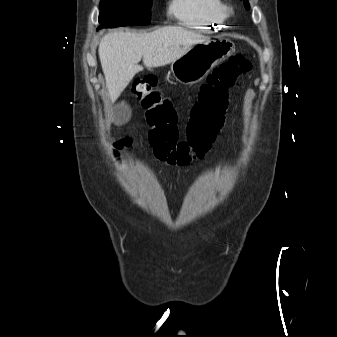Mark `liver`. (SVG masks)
Returning a JSON list of instances; mask_svg holds the SVG:
<instances>
[{"mask_svg": "<svg viewBox=\"0 0 337 337\" xmlns=\"http://www.w3.org/2000/svg\"><path fill=\"white\" fill-rule=\"evenodd\" d=\"M208 38L182 27L167 26L150 33L114 32L106 34L99 44V58L112 101H115L135 74L147 68L160 67L179 59L193 45Z\"/></svg>", "mask_w": 337, "mask_h": 337, "instance_id": "liver-1", "label": "liver"}]
</instances>
